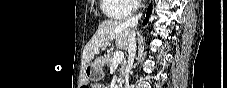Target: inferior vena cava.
Listing matches in <instances>:
<instances>
[{"label":"inferior vena cava","instance_id":"1","mask_svg":"<svg viewBox=\"0 0 227 88\" xmlns=\"http://www.w3.org/2000/svg\"><path fill=\"white\" fill-rule=\"evenodd\" d=\"M142 17V13H138L132 17H129L125 22L124 26L131 29V34L129 38L128 44V66L126 69V85L125 88H129V72L132 68L133 61L136 55V38H135V27L138 25L140 18Z\"/></svg>","mask_w":227,"mask_h":88}]
</instances>
